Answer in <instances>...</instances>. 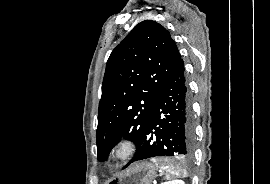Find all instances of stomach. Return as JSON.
I'll use <instances>...</instances> for the list:
<instances>
[{
  "mask_svg": "<svg viewBox=\"0 0 270 184\" xmlns=\"http://www.w3.org/2000/svg\"><path fill=\"white\" fill-rule=\"evenodd\" d=\"M155 178V166L148 162H141L109 180L108 184H152Z\"/></svg>",
  "mask_w": 270,
  "mask_h": 184,
  "instance_id": "obj_1",
  "label": "stomach"
}]
</instances>
